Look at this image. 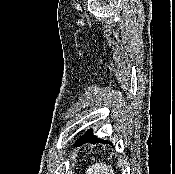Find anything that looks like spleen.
<instances>
[{
  "mask_svg": "<svg viewBox=\"0 0 175 174\" xmlns=\"http://www.w3.org/2000/svg\"><path fill=\"white\" fill-rule=\"evenodd\" d=\"M86 174H115L110 165L103 162L95 163L88 167Z\"/></svg>",
  "mask_w": 175,
  "mask_h": 174,
  "instance_id": "spleen-1",
  "label": "spleen"
}]
</instances>
